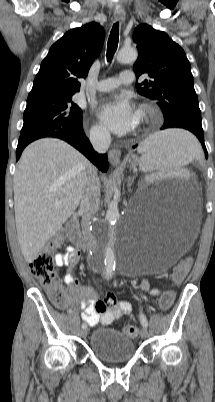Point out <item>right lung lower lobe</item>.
I'll return each mask as SVG.
<instances>
[{"label":"right lung lower lobe","instance_id":"right-lung-lower-lobe-1","mask_svg":"<svg viewBox=\"0 0 215 402\" xmlns=\"http://www.w3.org/2000/svg\"><path fill=\"white\" fill-rule=\"evenodd\" d=\"M43 137H54L65 140L81 153H83L92 163H94L101 171L106 172L108 170V159L106 154H98L94 151L88 138L84 134L82 125L74 129L61 130L53 133L42 135ZM38 139V138H37ZM36 140V139H35ZM29 144V143H28ZM18 145L16 150V160L21 156L23 149L28 145Z\"/></svg>","mask_w":215,"mask_h":402}]
</instances>
